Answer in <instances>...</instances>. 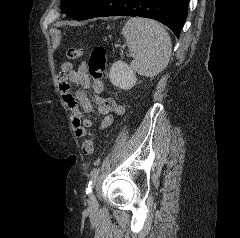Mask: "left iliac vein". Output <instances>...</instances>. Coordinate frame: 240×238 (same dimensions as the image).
<instances>
[{"mask_svg": "<svg viewBox=\"0 0 240 238\" xmlns=\"http://www.w3.org/2000/svg\"><path fill=\"white\" fill-rule=\"evenodd\" d=\"M88 207L90 210H94L97 207V201L92 194H89Z\"/></svg>", "mask_w": 240, "mask_h": 238, "instance_id": "obj_1", "label": "left iliac vein"}]
</instances>
